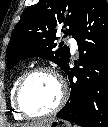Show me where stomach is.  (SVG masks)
I'll return each mask as SVG.
<instances>
[{
	"mask_svg": "<svg viewBox=\"0 0 108 127\" xmlns=\"http://www.w3.org/2000/svg\"><path fill=\"white\" fill-rule=\"evenodd\" d=\"M43 127H73L70 122L61 120V119H54L52 122L48 123Z\"/></svg>",
	"mask_w": 108,
	"mask_h": 127,
	"instance_id": "1",
	"label": "stomach"
}]
</instances>
